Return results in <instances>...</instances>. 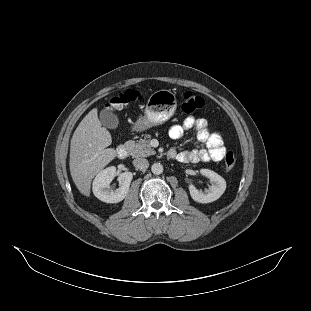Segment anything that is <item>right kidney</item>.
<instances>
[{"mask_svg": "<svg viewBox=\"0 0 311 311\" xmlns=\"http://www.w3.org/2000/svg\"><path fill=\"white\" fill-rule=\"evenodd\" d=\"M115 172V166L106 167L101 170L92 181V192L94 196L103 202H119L123 200L128 193L132 180V173H121L118 178L119 188L112 190L109 188V183L113 180Z\"/></svg>", "mask_w": 311, "mask_h": 311, "instance_id": "right-kidney-1", "label": "right kidney"}]
</instances>
